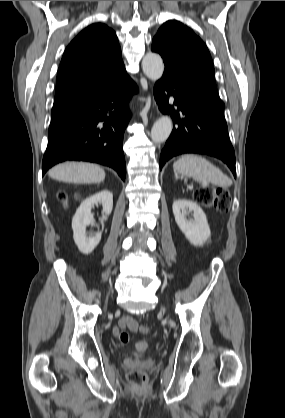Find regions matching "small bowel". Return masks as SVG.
<instances>
[{"label":"small bowel","mask_w":285,"mask_h":418,"mask_svg":"<svg viewBox=\"0 0 285 418\" xmlns=\"http://www.w3.org/2000/svg\"><path fill=\"white\" fill-rule=\"evenodd\" d=\"M120 328H128V329H130L132 331H137V330H139L141 332H146L147 331V328L146 327L139 326L134 319H132L131 317H128V316L125 317L122 320V322L120 324V327L116 328L115 329V332L118 333L119 330H120Z\"/></svg>","instance_id":"small-bowel-1"}]
</instances>
